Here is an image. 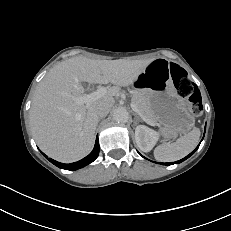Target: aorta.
I'll return each instance as SVG.
<instances>
[{"instance_id": "aorta-1", "label": "aorta", "mask_w": 231, "mask_h": 231, "mask_svg": "<svg viewBox=\"0 0 231 231\" xmlns=\"http://www.w3.org/2000/svg\"><path fill=\"white\" fill-rule=\"evenodd\" d=\"M113 119L118 123H126L129 119V113L125 108L118 107L113 111Z\"/></svg>"}]
</instances>
